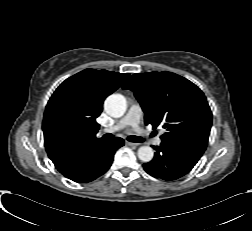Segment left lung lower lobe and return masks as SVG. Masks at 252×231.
<instances>
[{
	"label": "left lung lower lobe",
	"mask_w": 252,
	"mask_h": 231,
	"mask_svg": "<svg viewBox=\"0 0 252 231\" xmlns=\"http://www.w3.org/2000/svg\"><path fill=\"white\" fill-rule=\"evenodd\" d=\"M207 142L196 137H183L174 141L162 140L152 161L143 165L155 178L178 179L192 170L206 150Z\"/></svg>",
	"instance_id": "1"
}]
</instances>
